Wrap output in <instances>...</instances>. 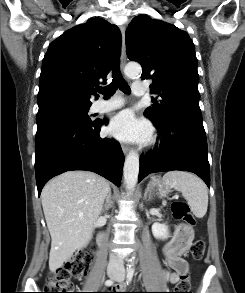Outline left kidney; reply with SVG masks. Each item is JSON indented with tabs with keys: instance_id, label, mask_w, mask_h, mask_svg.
<instances>
[{
	"instance_id": "obj_1",
	"label": "left kidney",
	"mask_w": 245,
	"mask_h": 293,
	"mask_svg": "<svg viewBox=\"0 0 245 293\" xmlns=\"http://www.w3.org/2000/svg\"><path fill=\"white\" fill-rule=\"evenodd\" d=\"M152 233L157 239H167L169 236L168 226L155 222L152 225Z\"/></svg>"
}]
</instances>
